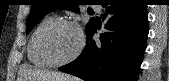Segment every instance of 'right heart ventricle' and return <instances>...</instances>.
I'll list each match as a JSON object with an SVG mask.
<instances>
[{
	"label": "right heart ventricle",
	"instance_id": "obj_1",
	"mask_svg": "<svg viewBox=\"0 0 169 81\" xmlns=\"http://www.w3.org/2000/svg\"><path fill=\"white\" fill-rule=\"evenodd\" d=\"M57 20L56 15H48L44 17L39 24L33 30L27 47V56L31 64L37 67H48V63L42 58L39 52V38L44 29L49 26L51 23Z\"/></svg>",
	"mask_w": 169,
	"mask_h": 81
}]
</instances>
